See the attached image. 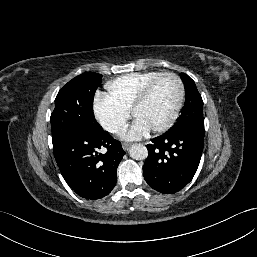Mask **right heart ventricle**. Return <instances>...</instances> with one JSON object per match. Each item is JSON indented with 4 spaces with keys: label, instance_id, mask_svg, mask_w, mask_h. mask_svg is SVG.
<instances>
[{
    "label": "right heart ventricle",
    "instance_id": "e07e8e85",
    "mask_svg": "<svg viewBox=\"0 0 257 257\" xmlns=\"http://www.w3.org/2000/svg\"><path fill=\"white\" fill-rule=\"evenodd\" d=\"M161 73L160 71H146L120 76L107 83V96L129 112L143 88Z\"/></svg>",
    "mask_w": 257,
    "mask_h": 257
}]
</instances>
